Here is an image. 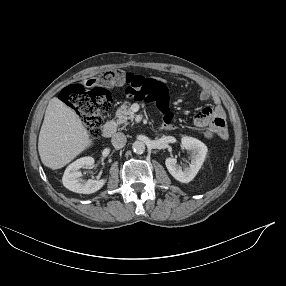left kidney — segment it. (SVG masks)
Returning a JSON list of instances; mask_svg holds the SVG:
<instances>
[{
    "label": "left kidney",
    "instance_id": "left-kidney-1",
    "mask_svg": "<svg viewBox=\"0 0 286 286\" xmlns=\"http://www.w3.org/2000/svg\"><path fill=\"white\" fill-rule=\"evenodd\" d=\"M182 146L192 152V160L189 167L182 168L177 164L175 158L169 157L165 160V165L169 173L178 181L188 183L194 179L199 169L201 168L206 154L207 146L198 139L192 137H183Z\"/></svg>",
    "mask_w": 286,
    "mask_h": 286
}]
</instances>
